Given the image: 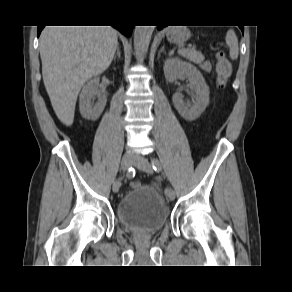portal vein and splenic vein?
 Listing matches in <instances>:
<instances>
[{
	"mask_svg": "<svg viewBox=\"0 0 292 292\" xmlns=\"http://www.w3.org/2000/svg\"><path fill=\"white\" fill-rule=\"evenodd\" d=\"M178 52L179 53H182V52H184V49H180V50H178Z\"/></svg>",
	"mask_w": 292,
	"mask_h": 292,
	"instance_id": "1",
	"label": "portal vein and splenic vein"
}]
</instances>
